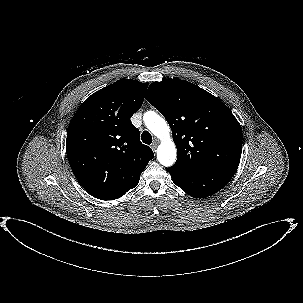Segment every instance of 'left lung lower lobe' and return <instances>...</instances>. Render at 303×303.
<instances>
[{
	"label": "left lung lower lobe",
	"instance_id": "obj_1",
	"mask_svg": "<svg viewBox=\"0 0 303 303\" xmlns=\"http://www.w3.org/2000/svg\"><path fill=\"white\" fill-rule=\"evenodd\" d=\"M173 182L194 198L211 196L221 190L233 177L229 169L187 170L176 166L166 168Z\"/></svg>",
	"mask_w": 303,
	"mask_h": 303
}]
</instances>
